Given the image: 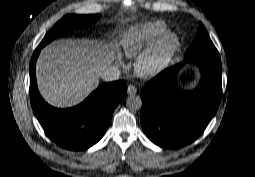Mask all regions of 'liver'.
Masks as SVG:
<instances>
[{"instance_id":"6515ba94","label":"liver","mask_w":255,"mask_h":177,"mask_svg":"<svg viewBox=\"0 0 255 177\" xmlns=\"http://www.w3.org/2000/svg\"><path fill=\"white\" fill-rule=\"evenodd\" d=\"M113 48L92 39H62L45 47L36 65L39 90L47 102L70 107L83 101L114 61Z\"/></svg>"}]
</instances>
